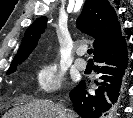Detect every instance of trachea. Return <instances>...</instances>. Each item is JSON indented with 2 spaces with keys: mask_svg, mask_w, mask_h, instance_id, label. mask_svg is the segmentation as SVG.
Wrapping results in <instances>:
<instances>
[{
  "mask_svg": "<svg viewBox=\"0 0 133 118\" xmlns=\"http://www.w3.org/2000/svg\"><path fill=\"white\" fill-rule=\"evenodd\" d=\"M88 54L90 55V54H92V52H93V49H88Z\"/></svg>",
  "mask_w": 133,
  "mask_h": 118,
  "instance_id": "trachea-1",
  "label": "trachea"
}]
</instances>
